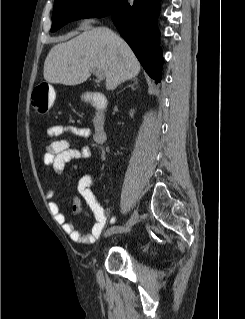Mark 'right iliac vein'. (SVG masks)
<instances>
[{
  "label": "right iliac vein",
  "instance_id": "right-iliac-vein-1",
  "mask_svg": "<svg viewBox=\"0 0 245 319\" xmlns=\"http://www.w3.org/2000/svg\"><path fill=\"white\" fill-rule=\"evenodd\" d=\"M138 219H139V213L137 210H135L131 218L127 222V224L124 226V228L121 231L117 232L118 233L117 236L127 233L130 230V228L137 223ZM105 236H110V235L108 234V232H106ZM97 280L100 282L103 280V274L101 269H99L97 272Z\"/></svg>",
  "mask_w": 245,
  "mask_h": 319
}]
</instances>
